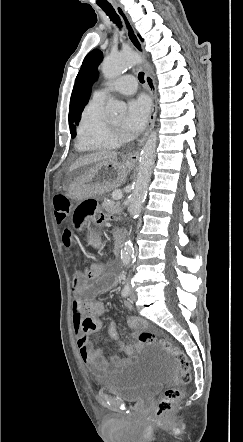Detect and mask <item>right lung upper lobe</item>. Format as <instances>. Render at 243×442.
I'll use <instances>...</instances> for the list:
<instances>
[{
	"label": "right lung upper lobe",
	"mask_w": 243,
	"mask_h": 442,
	"mask_svg": "<svg viewBox=\"0 0 243 442\" xmlns=\"http://www.w3.org/2000/svg\"><path fill=\"white\" fill-rule=\"evenodd\" d=\"M73 95H74V91L72 93L71 102H73ZM72 122H73V105L70 104V108H69V124H72Z\"/></svg>",
	"instance_id": "cb5924a9"
}]
</instances>
